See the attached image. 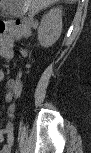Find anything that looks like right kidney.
<instances>
[{"label":"right kidney","instance_id":"right-kidney-1","mask_svg":"<svg viewBox=\"0 0 91 153\" xmlns=\"http://www.w3.org/2000/svg\"><path fill=\"white\" fill-rule=\"evenodd\" d=\"M62 31V9L51 8L41 19L38 28V41L42 47L51 46L60 36Z\"/></svg>","mask_w":91,"mask_h":153}]
</instances>
